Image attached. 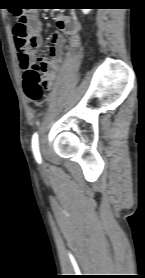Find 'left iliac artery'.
Instances as JSON below:
<instances>
[{"label":"left iliac artery","instance_id":"obj_1","mask_svg":"<svg viewBox=\"0 0 145 278\" xmlns=\"http://www.w3.org/2000/svg\"><path fill=\"white\" fill-rule=\"evenodd\" d=\"M32 150L37 162H41V155L39 152L38 134L35 133L32 137Z\"/></svg>","mask_w":145,"mask_h":278}]
</instances>
